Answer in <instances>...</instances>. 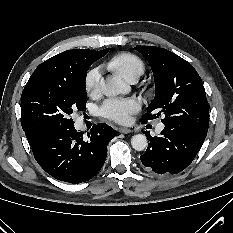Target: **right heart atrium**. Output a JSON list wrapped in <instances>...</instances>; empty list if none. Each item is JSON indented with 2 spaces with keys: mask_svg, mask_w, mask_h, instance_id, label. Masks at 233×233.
I'll return each mask as SVG.
<instances>
[{
  "mask_svg": "<svg viewBox=\"0 0 233 233\" xmlns=\"http://www.w3.org/2000/svg\"><path fill=\"white\" fill-rule=\"evenodd\" d=\"M101 76L100 68H93L87 73L85 78V88L88 94L96 95L99 93Z\"/></svg>",
  "mask_w": 233,
  "mask_h": 233,
  "instance_id": "right-heart-atrium-1",
  "label": "right heart atrium"
}]
</instances>
